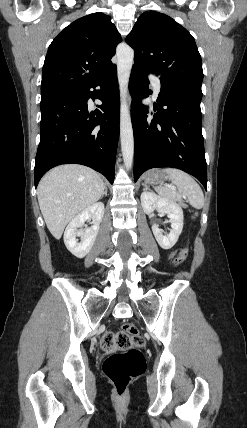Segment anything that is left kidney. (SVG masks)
<instances>
[{
  "mask_svg": "<svg viewBox=\"0 0 247 428\" xmlns=\"http://www.w3.org/2000/svg\"><path fill=\"white\" fill-rule=\"evenodd\" d=\"M141 205L146 214H151L157 210L161 215H167L171 223V230L163 235L158 225L152 226L153 234L163 249H171L178 241L183 229V210L174 201L156 195L154 192L144 191L141 194Z\"/></svg>",
  "mask_w": 247,
  "mask_h": 428,
  "instance_id": "5707ae66",
  "label": "left kidney"
}]
</instances>
